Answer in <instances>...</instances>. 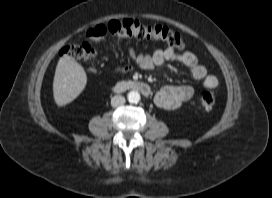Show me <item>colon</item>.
Segmentation results:
<instances>
[{
    "mask_svg": "<svg viewBox=\"0 0 272 198\" xmlns=\"http://www.w3.org/2000/svg\"><path fill=\"white\" fill-rule=\"evenodd\" d=\"M106 36L118 38L157 39L166 42L170 47L183 49L184 42L181 36L160 25L148 26L136 19L110 20L107 23L99 24L89 29L86 37L89 41L65 46L61 50L63 56L85 62L93 61L98 54L93 42H99ZM216 96L213 91H206L201 97V106L204 110L213 109Z\"/></svg>",
    "mask_w": 272,
    "mask_h": 198,
    "instance_id": "5ec220e1",
    "label": "colon"
}]
</instances>
